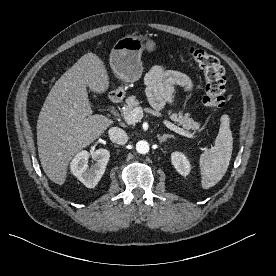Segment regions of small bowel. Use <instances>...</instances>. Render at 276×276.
<instances>
[{"mask_svg": "<svg viewBox=\"0 0 276 276\" xmlns=\"http://www.w3.org/2000/svg\"><path fill=\"white\" fill-rule=\"evenodd\" d=\"M148 97L157 110L172 102L175 86L191 90L192 80L184 73L164 66L153 67L145 77Z\"/></svg>", "mask_w": 276, "mask_h": 276, "instance_id": "1", "label": "small bowel"}]
</instances>
